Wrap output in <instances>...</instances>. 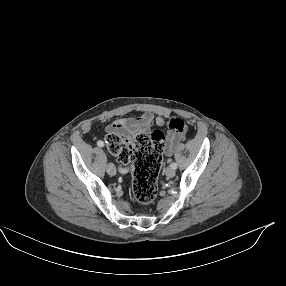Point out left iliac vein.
<instances>
[{"instance_id":"obj_1","label":"left iliac vein","mask_w":286,"mask_h":286,"mask_svg":"<svg viewBox=\"0 0 286 286\" xmlns=\"http://www.w3.org/2000/svg\"><path fill=\"white\" fill-rule=\"evenodd\" d=\"M165 174L167 177L172 178L175 175V170L172 169L171 167L166 168Z\"/></svg>"}]
</instances>
